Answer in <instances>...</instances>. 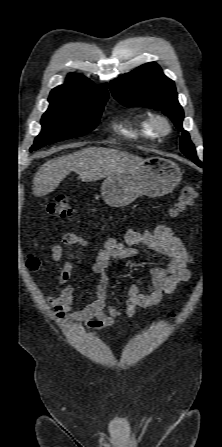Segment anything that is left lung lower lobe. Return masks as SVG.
I'll list each match as a JSON object with an SVG mask.
<instances>
[{
    "label": "left lung lower lobe",
    "mask_w": 222,
    "mask_h": 447,
    "mask_svg": "<svg viewBox=\"0 0 222 447\" xmlns=\"http://www.w3.org/2000/svg\"><path fill=\"white\" fill-rule=\"evenodd\" d=\"M194 163H196L198 166H201L202 163L198 160V159H194L192 160Z\"/></svg>",
    "instance_id": "0a47b994"
}]
</instances>
